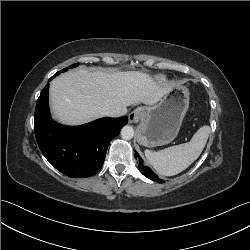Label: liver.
I'll return each mask as SVG.
<instances>
[{"instance_id":"6515ba94","label":"liver","mask_w":250,"mask_h":250,"mask_svg":"<svg viewBox=\"0 0 250 250\" xmlns=\"http://www.w3.org/2000/svg\"><path fill=\"white\" fill-rule=\"evenodd\" d=\"M175 86L174 82L160 83L139 71L109 73L80 68L51 82V108L61 123L79 125L112 110L124 115L133 104L155 105Z\"/></svg>"}]
</instances>
